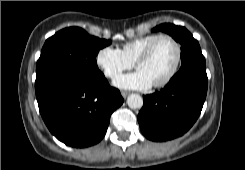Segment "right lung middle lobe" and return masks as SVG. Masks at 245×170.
I'll use <instances>...</instances> for the list:
<instances>
[{
  "label": "right lung middle lobe",
  "instance_id": "obj_1",
  "mask_svg": "<svg viewBox=\"0 0 245 170\" xmlns=\"http://www.w3.org/2000/svg\"><path fill=\"white\" fill-rule=\"evenodd\" d=\"M110 40L90 36L82 28H65L46 40L36 67L35 87L66 73L99 72L96 56Z\"/></svg>",
  "mask_w": 245,
  "mask_h": 170
}]
</instances>
